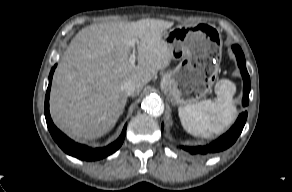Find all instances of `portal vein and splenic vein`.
Here are the masks:
<instances>
[{
    "label": "portal vein and splenic vein",
    "mask_w": 292,
    "mask_h": 192,
    "mask_svg": "<svg viewBox=\"0 0 292 192\" xmlns=\"http://www.w3.org/2000/svg\"><path fill=\"white\" fill-rule=\"evenodd\" d=\"M138 40L136 38H133L131 40V46L133 48V52L132 54L130 55V58H129V62L131 64H134L135 63V60H136V51H135V43L137 42Z\"/></svg>",
    "instance_id": "1"
}]
</instances>
